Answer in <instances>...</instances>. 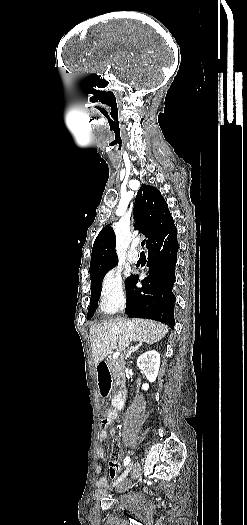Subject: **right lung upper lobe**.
Returning a JSON list of instances; mask_svg holds the SVG:
<instances>
[{
	"mask_svg": "<svg viewBox=\"0 0 247 525\" xmlns=\"http://www.w3.org/2000/svg\"><path fill=\"white\" fill-rule=\"evenodd\" d=\"M136 223L134 227L147 238L146 243L174 224L168 205L155 187L142 185L137 193L134 206ZM115 234L106 225L96 237L90 262V275L105 273L114 267Z\"/></svg>",
	"mask_w": 247,
	"mask_h": 525,
	"instance_id": "right-lung-upper-lobe-1",
	"label": "right lung upper lobe"
}]
</instances>
